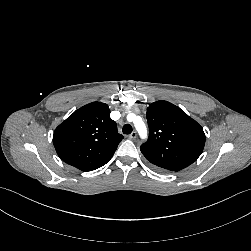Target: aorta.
Returning <instances> with one entry per match:
<instances>
[{
    "mask_svg": "<svg viewBox=\"0 0 251 251\" xmlns=\"http://www.w3.org/2000/svg\"><path fill=\"white\" fill-rule=\"evenodd\" d=\"M135 127H136V130L139 132V135L141 136V138H146L147 130H146V126L144 122L142 120L135 122Z\"/></svg>",
    "mask_w": 251,
    "mask_h": 251,
    "instance_id": "1",
    "label": "aorta"
}]
</instances>
